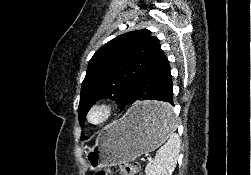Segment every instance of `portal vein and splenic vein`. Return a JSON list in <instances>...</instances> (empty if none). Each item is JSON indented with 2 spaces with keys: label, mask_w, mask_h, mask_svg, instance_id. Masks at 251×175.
<instances>
[{
  "label": "portal vein and splenic vein",
  "mask_w": 251,
  "mask_h": 175,
  "mask_svg": "<svg viewBox=\"0 0 251 175\" xmlns=\"http://www.w3.org/2000/svg\"><path fill=\"white\" fill-rule=\"evenodd\" d=\"M145 161H146V162H151V161H152V158H151V157H146V158H145Z\"/></svg>",
  "instance_id": "18ae733b"
}]
</instances>
